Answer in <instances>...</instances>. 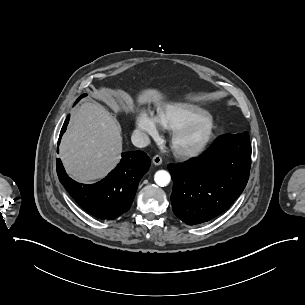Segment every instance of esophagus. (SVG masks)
Here are the masks:
<instances>
[{"mask_svg":"<svg viewBox=\"0 0 305 305\" xmlns=\"http://www.w3.org/2000/svg\"><path fill=\"white\" fill-rule=\"evenodd\" d=\"M153 163L157 166L162 164V157L160 155H155L153 157Z\"/></svg>","mask_w":305,"mask_h":305,"instance_id":"obj_1","label":"esophagus"}]
</instances>
